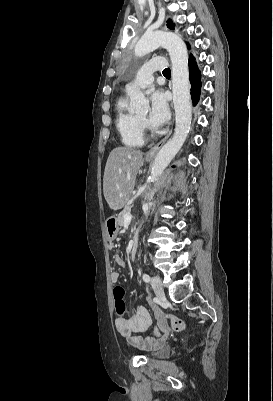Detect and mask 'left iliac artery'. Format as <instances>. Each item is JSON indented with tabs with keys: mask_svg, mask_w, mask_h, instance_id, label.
<instances>
[{
	"mask_svg": "<svg viewBox=\"0 0 273 401\" xmlns=\"http://www.w3.org/2000/svg\"><path fill=\"white\" fill-rule=\"evenodd\" d=\"M143 280L145 281V282H149L150 281V277H149V275L148 274H143Z\"/></svg>",
	"mask_w": 273,
	"mask_h": 401,
	"instance_id": "left-iliac-artery-1",
	"label": "left iliac artery"
}]
</instances>
